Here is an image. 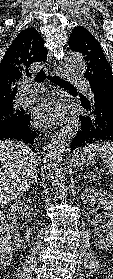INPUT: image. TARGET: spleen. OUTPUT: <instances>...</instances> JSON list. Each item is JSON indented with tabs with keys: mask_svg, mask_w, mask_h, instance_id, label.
Masks as SVG:
<instances>
[{
	"mask_svg": "<svg viewBox=\"0 0 113 279\" xmlns=\"http://www.w3.org/2000/svg\"><path fill=\"white\" fill-rule=\"evenodd\" d=\"M86 150L97 152L104 160L106 167L113 174V142H96L85 147Z\"/></svg>",
	"mask_w": 113,
	"mask_h": 279,
	"instance_id": "obj_1",
	"label": "spleen"
}]
</instances>
